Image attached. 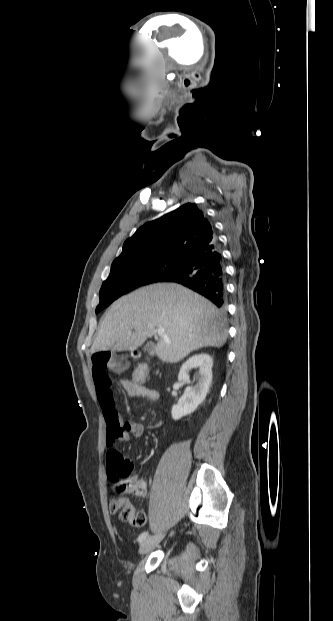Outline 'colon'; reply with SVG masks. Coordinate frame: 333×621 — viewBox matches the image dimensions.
<instances>
[{
    "label": "colon",
    "mask_w": 333,
    "mask_h": 621,
    "mask_svg": "<svg viewBox=\"0 0 333 621\" xmlns=\"http://www.w3.org/2000/svg\"><path fill=\"white\" fill-rule=\"evenodd\" d=\"M148 374V367L142 366L136 370L133 377L127 380L129 390H134L138 386L142 385ZM131 469L128 467L114 469L110 471V484L114 492L118 495L110 503V511L112 513H118L121 520L128 522L129 524L141 527L146 521V515L142 511H136L128 502V500L121 495L130 491L132 488V481L130 478Z\"/></svg>",
    "instance_id": "5ec220e1"
}]
</instances>
